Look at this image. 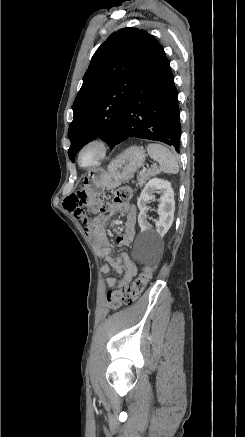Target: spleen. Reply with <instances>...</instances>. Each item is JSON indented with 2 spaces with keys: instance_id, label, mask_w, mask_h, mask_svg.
Here are the masks:
<instances>
[{
  "instance_id": "1",
  "label": "spleen",
  "mask_w": 245,
  "mask_h": 437,
  "mask_svg": "<svg viewBox=\"0 0 245 437\" xmlns=\"http://www.w3.org/2000/svg\"><path fill=\"white\" fill-rule=\"evenodd\" d=\"M148 154L157 161L160 170L165 173L176 174L179 171V160L168 148L157 143L147 144Z\"/></svg>"
}]
</instances>
